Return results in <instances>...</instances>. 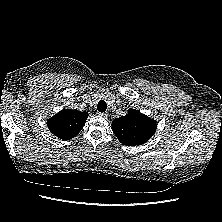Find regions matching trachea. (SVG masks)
<instances>
[{
    "label": "trachea",
    "mask_w": 222,
    "mask_h": 222,
    "mask_svg": "<svg viewBox=\"0 0 222 222\" xmlns=\"http://www.w3.org/2000/svg\"><path fill=\"white\" fill-rule=\"evenodd\" d=\"M107 109V103L104 100H100L97 105V110L99 112H105Z\"/></svg>",
    "instance_id": "trachea-1"
}]
</instances>
